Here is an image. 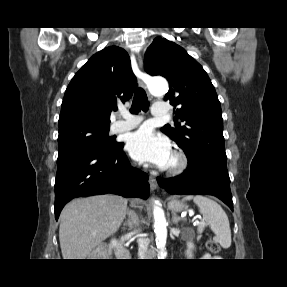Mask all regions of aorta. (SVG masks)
I'll return each mask as SVG.
<instances>
[{"label":"aorta","mask_w":287,"mask_h":287,"mask_svg":"<svg viewBox=\"0 0 287 287\" xmlns=\"http://www.w3.org/2000/svg\"><path fill=\"white\" fill-rule=\"evenodd\" d=\"M151 92L157 94H165L168 91V84L166 80H154L149 86ZM154 217V231L156 234V244L160 249L159 259H165L167 253L165 249L167 239V221L164 215V211L154 204L153 207Z\"/></svg>","instance_id":"1"}]
</instances>
